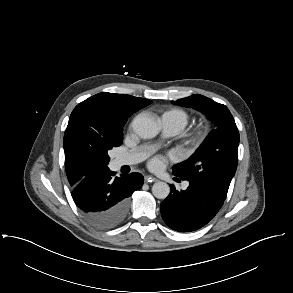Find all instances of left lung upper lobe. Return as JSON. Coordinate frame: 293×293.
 <instances>
[{"label":"left lung upper lobe","mask_w":293,"mask_h":293,"mask_svg":"<svg viewBox=\"0 0 293 293\" xmlns=\"http://www.w3.org/2000/svg\"><path fill=\"white\" fill-rule=\"evenodd\" d=\"M172 103L201 111L215 124L195 153L172 167L173 174L182 180L196 179L228 192L237 168L239 145L238 128L229 109L199 94Z\"/></svg>","instance_id":"left-lung-upper-lobe-1"}]
</instances>
